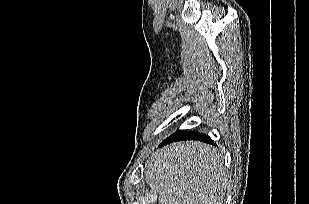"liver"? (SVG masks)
<instances>
[{
    "label": "liver",
    "mask_w": 309,
    "mask_h": 204,
    "mask_svg": "<svg viewBox=\"0 0 309 204\" xmlns=\"http://www.w3.org/2000/svg\"><path fill=\"white\" fill-rule=\"evenodd\" d=\"M145 175L160 204H222L228 186L223 155L198 141L155 151Z\"/></svg>",
    "instance_id": "obj_1"
}]
</instances>
